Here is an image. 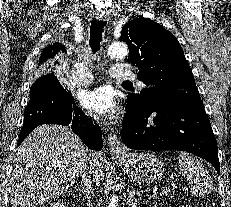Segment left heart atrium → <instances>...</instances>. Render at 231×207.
<instances>
[{"mask_svg": "<svg viewBox=\"0 0 231 207\" xmlns=\"http://www.w3.org/2000/svg\"><path fill=\"white\" fill-rule=\"evenodd\" d=\"M80 103L88 111L99 115L112 116L117 104L112 92L105 87L85 90L80 94Z\"/></svg>", "mask_w": 231, "mask_h": 207, "instance_id": "obj_1", "label": "left heart atrium"}]
</instances>
